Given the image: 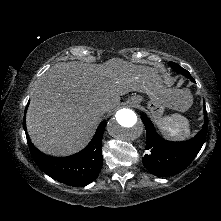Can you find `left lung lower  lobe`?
Instances as JSON below:
<instances>
[{
	"label": "left lung lower lobe",
	"mask_w": 221,
	"mask_h": 221,
	"mask_svg": "<svg viewBox=\"0 0 221 221\" xmlns=\"http://www.w3.org/2000/svg\"><path fill=\"white\" fill-rule=\"evenodd\" d=\"M183 75L195 82L187 70ZM141 119L146 129V150H149L142 162L150 173L157 176H171L183 171L196 157L206 138L208 119L205 106L202 130L194 138L183 142H171L161 138L145 115H142Z\"/></svg>",
	"instance_id": "1"
}]
</instances>
